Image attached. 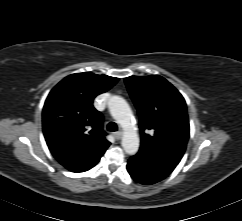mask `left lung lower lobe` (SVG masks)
<instances>
[{
	"instance_id": "0a47b994",
	"label": "left lung lower lobe",
	"mask_w": 242,
	"mask_h": 221,
	"mask_svg": "<svg viewBox=\"0 0 242 221\" xmlns=\"http://www.w3.org/2000/svg\"><path fill=\"white\" fill-rule=\"evenodd\" d=\"M177 166L172 161L147 150L139 152L128 160L130 176L143 185H151L166 178Z\"/></svg>"
}]
</instances>
